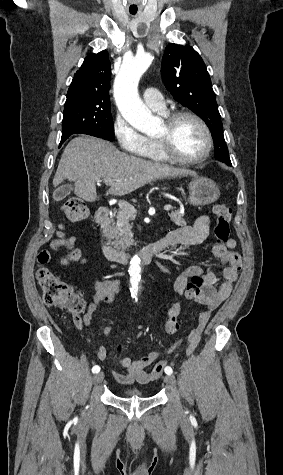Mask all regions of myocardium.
Wrapping results in <instances>:
<instances>
[{"mask_svg": "<svg viewBox=\"0 0 283 475\" xmlns=\"http://www.w3.org/2000/svg\"><path fill=\"white\" fill-rule=\"evenodd\" d=\"M192 118L196 122L199 123V125L202 127L204 130L205 136H206V146L204 151L191 158H181V157H173L167 154L166 152V145H169L171 143V135L173 133L174 127L176 123L182 119V118ZM157 141V147L159 154L162 158V161L164 162H202L205 159H207L212 150H213V140H212V134L210 131V128L206 124V122L197 114L190 112V111H176L168 114L165 119V135L164 137H155Z\"/></svg>", "mask_w": 283, "mask_h": 475, "instance_id": "1", "label": "myocardium"}]
</instances>
